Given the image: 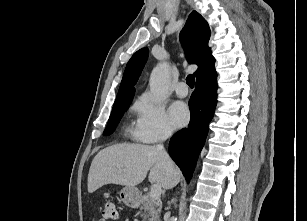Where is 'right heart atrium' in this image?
Instances as JSON below:
<instances>
[{
    "label": "right heart atrium",
    "instance_id": "1",
    "mask_svg": "<svg viewBox=\"0 0 307 221\" xmlns=\"http://www.w3.org/2000/svg\"><path fill=\"white\" fill-rule=\"evenodd\" d=\"M137 112L136 138L144 143H156L170 138L174 128L164 107L149 94L142 95L135 104Z\"/></svg>",
    "mask_w": 307,
    "mask_h": 221
}]
</instances>
